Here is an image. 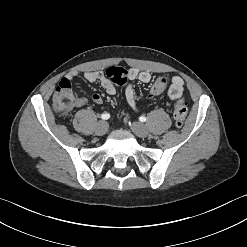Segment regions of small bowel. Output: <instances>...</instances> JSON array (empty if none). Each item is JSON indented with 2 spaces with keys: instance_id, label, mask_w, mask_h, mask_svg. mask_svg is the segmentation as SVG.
Returning a JSON list of instances; mask_svg holds the SVG:
<instances>
[{
  "instance_id": "obj_1",
  "label": "small bowel",
  "mask_w": 247,
  "mask_h": 247,
  "mask_svg": "<svg viewBox=\"0 0 247 247\" xmlns=\"http://www.w3.org/2000/svg\"><path fill=\"white\" fill-rule=\"evenodd\" d=\"M77 76V72H71L64 77L59 83H67L71 86V81ZM85 81L90 83H99L108 95H114L116 93L115 85L105 76L101 71H89L83 74ZM151 73L148 71H139L138 69L132 68L129 71V79L131 81H139L142 83H149L151 81ZM184 92V81L179 76H174L171 79V84L168 89V96L171 100H177L182 97ZM126 98L129 105L134 109L138 110V104L135 96L133 87L130 85L126 89ZM95 103L102 102V96L95 93L91 97ZM89 99L86 97L75 98L72 108H78L88 104Z\"/></svg>"
}]
</instances>
